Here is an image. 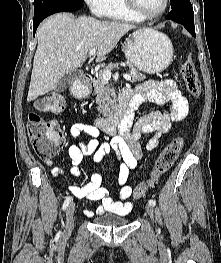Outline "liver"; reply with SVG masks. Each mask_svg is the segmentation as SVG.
<instances>
[{
  "mask_svg": "<svg viewBox=\"0 0 221 263\" xmlns=\"http://www.w3.org/2000/svg\"><path fill=\"white\" fill-rule=\"evenodd\" d=\"M135 28L132 24L89 16L74 19L59 13L49 17L37 30L38 45L27 101L55 89L62 77L83 65L90 49L97 48V61L104 60L121 37Z\"/></svg>",
  "mask_w": 221,
  "mask_h": 263,
  "instance_id": "6515ba94",
  "label": "liver"
}]
</instances>
